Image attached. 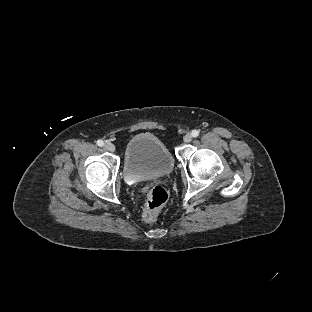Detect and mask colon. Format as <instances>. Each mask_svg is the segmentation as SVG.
Instances as JSON below:
<instances>
[{"label":"colon","mask_w":312,"mask_h":312,"mask_svg":"<svg viewBox=\"0 0 312 312\" xmlns=\"http://www.w3.org/2000/svg\"><path fill=\"white\" fill-rule=\"evenodd\" d=\"M167 191L161 186H154L148 193L143 218L147 223H154L157 220L159 209L168 200Z\"/></svg>","instance_id":"5ec220e1"}]
</instances>
